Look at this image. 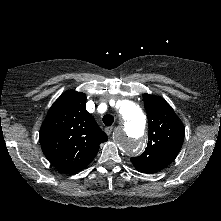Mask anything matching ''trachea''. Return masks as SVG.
Instances as JSON below:
<instances>
[{
  "mask_svg": "<svg viewBox=\"0 0 221 221\" xmlns=\"http://www.w3.org/2000/svg\"><path fill=\"white\" fill-rule=\"evenodd\" d=\"M102 120L106 126H111L114 122V117L108 114V115H105Z\"/></svg>",
  "mask_w": 221,
  "mask_h": 221,
  "instance_id": "3493384b",
  "label": "trachea"
}]
</instances>
